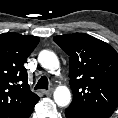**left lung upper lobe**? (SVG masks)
Instances as JSON below:
<instances>
[{
	"mask_svg": "<svg viewBox=\"0 0 118 118\" xmlns=\"http://www.w3.org/2000/svg\"><path fill=\"white\" fill-rule=\"evenodd\" d=\"M70 56L69 77L73 91L70 108L112 115L118 106V54L107 43L83 33L55 36Z\"/></svg>",
	"mask_w": 118,
	"mask_h": 118,
	"instance_id": "obj_1",
	"label": "left lung upper lobe"
}]
</instances>
